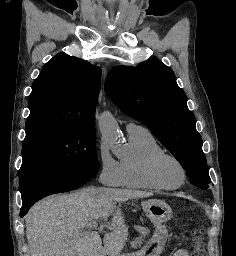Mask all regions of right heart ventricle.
<instances>
[{
	"mask_svg": "<svg viewBox=\"0 0 236 256\" xmlns=\"http://www.w3.org/2000/svg\"><path fill=\"white\" fill-rule=\"evenodd\" d=\"M132 154L121 159L123 186L132 189H160L147 176L149 160L164 153L154 136L146 129L129 135Z\"/></svg>",
	"mask_w": 236,
	"mask_h": 256,
	"instance_id": "obj_1",
	"label": "right heart ventricle"
}]
</instances>
